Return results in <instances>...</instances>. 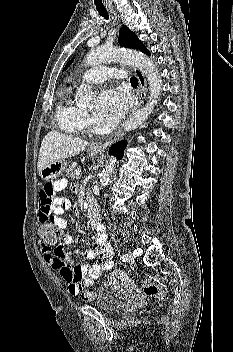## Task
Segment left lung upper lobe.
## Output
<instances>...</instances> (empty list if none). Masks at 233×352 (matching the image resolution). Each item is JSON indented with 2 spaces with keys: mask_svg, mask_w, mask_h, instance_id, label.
<instances>
[{
  "mask_svg": "<svg viewBox=\"0 0 233 352\" xmlns=\"http://www.w3.org/2000/svg\"><path fill=\"white\" fill-rule=\"evenodd\" d=\"M118 42L122 47L139 49L140 51L149 55V50L144 46V44L138 39L136 34L128 29V27L123 26L120 28ZM71 59L63 69L65 71L73 62Z\"/></svg>",
  "mask_w": 233,
  "mask_h": 352,
  "instance_id": "left-lung-upper-lobe-1",
  "label": "left lung upper lobe"
}]
</instances>
